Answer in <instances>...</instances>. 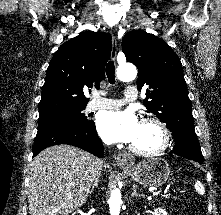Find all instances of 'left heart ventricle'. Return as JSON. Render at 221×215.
<instances>
[{
	"label": "left heart ventricle",
	"instance_id": "1",
	"mask_svg": "<svg viewBox=\"0 0 221 215\" xmlns=\"http://www.w3.org/2000/svg\"><path fill=\"white\" fill-rule=\"evenodd\" d=\"M162 142L161 132L158 127L151 123H140L139 132L132 145L151 150L157 148Z\"/></svg>",
	"mask_w": 221,
	"mask_h": 215
}]
</instances>
